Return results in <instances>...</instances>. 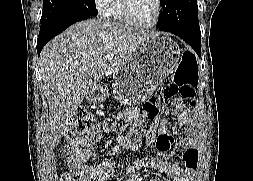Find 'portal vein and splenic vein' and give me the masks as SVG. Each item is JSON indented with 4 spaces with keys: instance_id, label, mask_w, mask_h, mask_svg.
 Instances as JSON below:
<instances>
[{
    "instance_id": "portal-vein-and-splenic-vein-1",
    "label": "portal vein and splenic vein",
    "mask_w": 253,
    "mask_h": 181,
    "mask_svg": "<svg viewBox=\"0 0 253 181\" xmlns=\"http://www.w3.org/2000/svg\"><path fill=\"white\" fill-rule=\"evenodd\" d=\"M114 53H112V52H110V53H107L106 54V58H107V60H112L113 58H114Z\"/></svg>"
}]
</instances>
